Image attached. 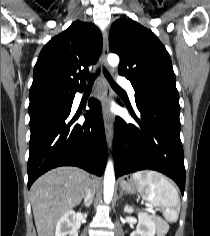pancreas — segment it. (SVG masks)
<instances>
[{
  "label": "pancreas",
  "mask_w": 210,
  "mask_h": 236,
  "mask_svg": "<svg viewBox=\"0 0 210 236\" xmlns=\"http://www.w3.org/2000/svg\"><path fill=\"white\" fill-rule=\"evenodd\" d=\"M153 219L156 221L158 218L157 217H153Z\"/></svg>",
  "instance_id": "obj_1"
}]
</instances>
